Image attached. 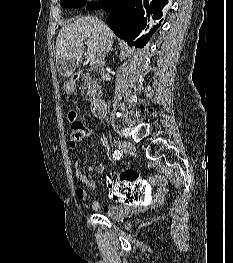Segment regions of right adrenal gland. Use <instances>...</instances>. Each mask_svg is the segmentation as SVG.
<instances>
[{
	"label": "right adrenal gland",
	"instance_id": "2a0ac1e0",
	"mask_svg": "<svg viewBox=\"0 0 233 263\" xmlns=\"http://www.w3.org/2000/svg\"><path fill=\"white\" fill-rule=\"evenodd\" d=\"M112 45H113V41H109L105 51V56L109 53V51H113Z\"/></svg>",
	"mask_w": 233,
	"mask_h": 263
}]
</instances>
